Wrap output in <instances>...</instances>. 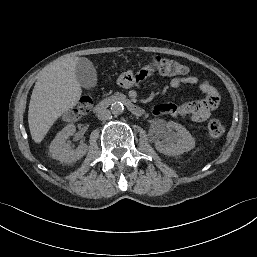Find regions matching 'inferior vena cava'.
<instances>
[{"mask_svg":"<svg viewBox=\"0 0 257 257\" xmlns=\"http://www.w3.org/2000/svg\"><path fill=\"white\" fill-rule=\"evenodd\" d=\"M97 117L99 120H108L111 117V112L110 110L106 108H100L97 112Z\"/></svg>","mask_w":257,"mask_h":257,"instance_id":"1","label":"inferior vena cava"}]
</instances>
